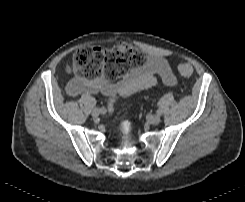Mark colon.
<instances>
[{
	"label": "colon",
	"instance_id": "colon-1",
	"mask_svg": "<svg viewBox=\"0 0 245 202\" xmlns=\"http://www.w3.org/2000/svg\"><path fill=\"white\" fill-rule=\"evenodd\" d=\"M145 64V55L128 43H119L111 48L84 46L77 49L69 63L68 70L78 78L93 80L104 76L110 80L125 77L132 69ZM178 72L188 77L192 66L178 65Z\"/></svg>",
	"mask_w": 245,
	"mask_h": 202
}]
</instances>
